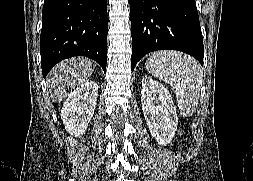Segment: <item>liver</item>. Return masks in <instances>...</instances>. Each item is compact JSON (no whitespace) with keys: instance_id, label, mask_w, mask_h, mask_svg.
Segmentation results:
<instances>
[{"instance_id":"6515ba94","label":"liver","mask_w":253,"mask_h":181,"mask_svg":"<svg viewBox=\"0 0 253 181\" xmlns=\"http://www.w3.org/2000/svg\"><path fill=\"white\" fill-rule=\"evenodd\" d=\"M93 70L92 61L84 57L59 63L49 74L57 101L61 102L70 90L86 82Z\"/></svg>"}]
</instances>
